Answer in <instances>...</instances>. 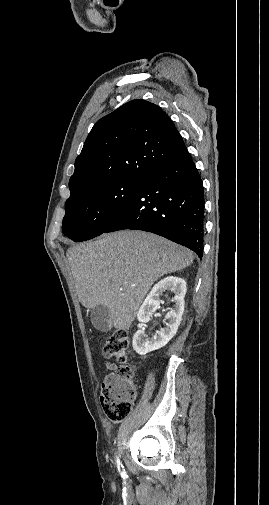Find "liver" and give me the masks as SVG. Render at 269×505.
Instances as JSON below:
<instances>
[{"label":"liver","instance_id":"6515ba94","mask_svg":"<svg viewBox=\"0 0 269 505\" xmlns=\"http://www.w3.org/2000/svg\"><path fill=\"white\" fill-rule=\"evenodd\" d=\"M67 257L81 304L105 305L112 325L129 329L147 292L161 276L193 262L187 248L143 231H118L71 247Z\"/></svg>","mask_w":269,"mask_h":505}]
</instances>
